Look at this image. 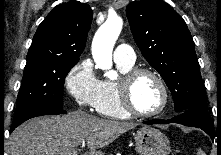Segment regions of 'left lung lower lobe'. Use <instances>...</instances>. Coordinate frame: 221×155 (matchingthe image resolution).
Listing matches in <instances>:
<instances>
[{
	"label": "left lung lower lobe",
	"instance_id": "obj_1",
	"mask_svg": "<svg viewBox=\"0 0 221 155\" xmlns=\"http://www.w3.org/2000/svg\"><path fill=\"white\" fill-rule=\"evenodd\" d=\"M145 124L178 123L185 126L197 127L204 130L214 140V124L207 112V106L190 108L170 120L154 119L145 121Z\"/></svg>",
	"mask_w": 221,
	"mask_h": 155
}]
</instances>
